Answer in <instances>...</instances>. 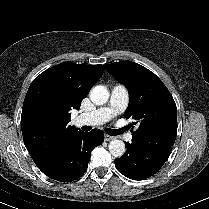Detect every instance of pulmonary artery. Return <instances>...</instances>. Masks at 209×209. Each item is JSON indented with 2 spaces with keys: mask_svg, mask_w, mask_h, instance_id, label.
<instances>
[{
  "mask_svg": "<svg viewBox=\"0 0 209 209\" xmlns=\"http://www.w3.org/2000/svg\"><path fill=\"white\" fill-rule=\"evenodd\" d=\"M129 94L125 86L117 84L113 87L110 95V100L107 106L98 108L94 112L84 113L81 118L85 124L97 125L103 124L115 115L122 112L128 104ZM133 136L131 133L125 136L126 141H131Z\"/></svg>",
  "mask_w": 209,
  "mask_h": 209,
  "instance_id": "e3ab8cb5",
  "label": "pulmonary artery"
}]
</instances>
